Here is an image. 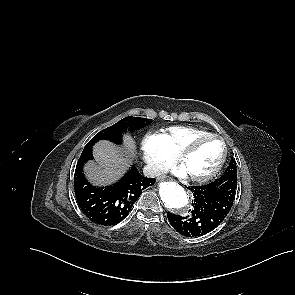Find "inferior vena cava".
I'll list each match as a JSON object with an SVG mask.
<instances>
[{
    "instance_id": "inferior-vena-cava-1",
    "label": "inferior vena cava",
    "mask_w": 295,
    "mask_h": 295,
    "mask_svg": "<svg viewBox=\"0 0 295 295\" xmlns=\"http://www.w3.org/2000/svg\"><path fill=\"white\" fill-rule=\"evenodd\" d=\"M143 173L146 177L153 178L160 176L163 173V168L159 165L149 164L143 168Z\"/></svg>"
}]
</instances>
